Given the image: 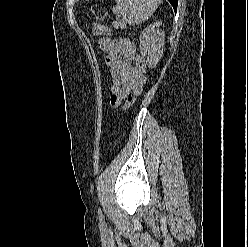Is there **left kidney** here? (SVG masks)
Returning a JSON list of instances; mask_svg holds the SVG:
<instances>
[{"label": "left kidney", "instance_id": "1", "mask_svg": "<svg viewBox=\"0 0 248 247\" xmlns=\"http://www.w3.org/2000/svg\"><path fill=\"white\" fill-rule=\"evenodd\" d=\"M160 25V22L149 25L139 38L140 53L151 68L156 67L163 54L165 34Z\"/></svg>", "mask_w": 248, "mask_h": 247}]
</instances>
